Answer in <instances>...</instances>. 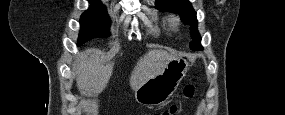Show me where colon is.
<instances>
[{"instance_id": "5ec220e1", "label": "colon", "mask_w": 285, "mask_h": 115, "mask_svg": "<svg viewBox=\"0 0 285 115\" xmlns=\"http://www.w3.org/2000/svg\"><path fill=\"white\" fill-rule=\"evenodd\" d=\"M196 88L192 83L187 84L184 87L183 94L185 100H190L195 96ZM178 105H171L167 110L163 111L161 115H173L178 112Z\"/></svg>"}]
</instances>
